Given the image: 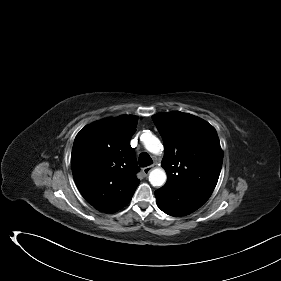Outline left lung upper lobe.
<instances>
[{
    "instance_id": "1",
    "label": "left lung upper lobe",
    "mask_w": 281,
    "mask_h": 281,
    "mask_svg": "<svg viewBox=\"0 0 281 281\" xmlns=\"http://www.w3.org/2000/svg\"><path fill=\"white\" fill-rule=\"evenodd\" d=\"M152 119L164 141L165 187L191 191L208 200L223 161L215 128L199 117L179 111L159 113Z\"/></svg>"
}]
</instances>
